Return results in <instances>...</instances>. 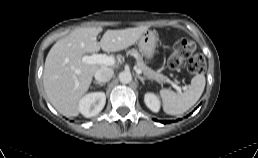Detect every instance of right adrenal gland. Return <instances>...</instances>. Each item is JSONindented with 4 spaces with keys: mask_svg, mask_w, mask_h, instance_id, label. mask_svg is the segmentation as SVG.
I'll return each instance as SVG.
<instances>
[{
    "mask_svg": "<svg viewBox=\"0 0 258 158\" xmlns=\"http://www.w3.org/2000/svg\"><path fill=\"white\" fill-rule=\"evenodd\" d=\"M95 84H96V85H99V86H101V87L105 85V83H99V82H95Z\"/></svg>",
    "mask_w": 258,
    "mask_h": 158,
    "instance_id": "right-adrenal-gland-1",
    "label": "right adrenal gland"
}]
</instances>
